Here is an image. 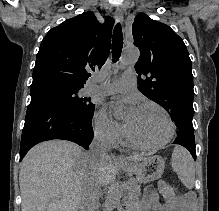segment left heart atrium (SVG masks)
<instances>
[{
    "instance_id": "1",
    "label": "left heart atrium",
    "mask_w": 219,
    "mask_h": 211,
    "mask_svg": "<svg viewBox=\"0 0 219 211\" xmlns=\"http://www.w3.org/2000/svg\"><path fill=\"white\" fill-rule=\"evenodd\" d=\"M121 103H113L110 106L111 111H115ZM124 104L126 105V114H125V122L127 123L132 119V117L135 115L137 111V106L135 104L134 99L129 98L124 101Z\"/></svg>"
}]
</instances>
